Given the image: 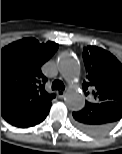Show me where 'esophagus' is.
I'll return each instance as SVG.
<instances>
[{"instance_id":"esophagus-1","label":"esophagus","mask_w":122,"mask_h":154,"mask_svg":"<svg viewBox=\"0 0 122 154\" xmlns=\"http://www.w3.org/2000/svg\"><path fill=\"white\" fill-rule=\"evenodd\" d=\"M56 94H57L58 98H63L65 96L66 92L63 90H58L56 92Z\"/></svg>"}]
</instances>
